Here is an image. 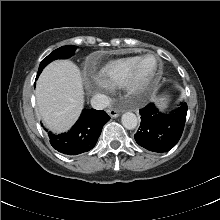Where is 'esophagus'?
Returning a JSON list of instances; mask_svg holds the SVG:
<instances>
[{
	"instance_id": "obj_1",
	"label": "esophagus",
	"mask_w": 220,
	"mask_h": 220,
	"mask_svg": "<svg viewBox=\"0 0 220 220\" xmlns=\"http://www.w3.org/2000/svg\"><path fill=\"white\" fill-rule=\"evenodd\" d=\"M108 114L111 118H117L120 113H119V111H117L115 109H109Z\"/></svg>"
}]
</instances>
